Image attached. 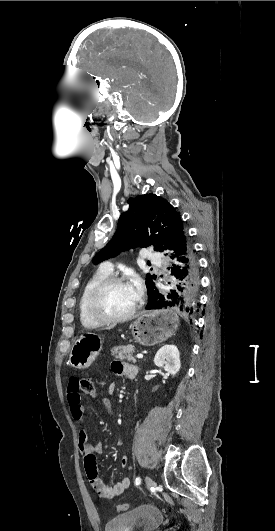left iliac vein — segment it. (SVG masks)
<instances>
[{"mask_svg":"<svg viewBox=\"0 0 275 531\" xmlns=\"http://www.w3.org/2000/svg\"><path fill=\"white\" fill-rule=\"evenodd\" d=\"M145 481H146V485H147V487H149V488H150V487H155V486H156L155 481L152 480V479H151L150 477H148V476L145 478Z\"/></svg>","mask_w":275,"mask_h":531,"instance_id":"left-iliac-vein-1","label":"left iliac vein"}]
</instances>
